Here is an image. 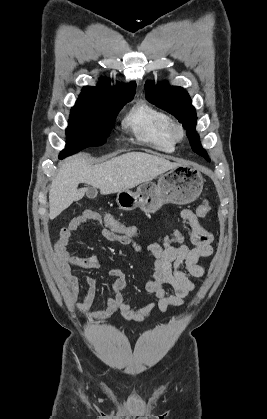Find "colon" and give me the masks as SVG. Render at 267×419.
<instances>
[{
  "instance_id": "1",
  "label": "colon",
  "mask_w": 267,
  "mask_h": 419,
  "mask_svg": "<svg viewBox=\"0 0 267 419\" xmlns=\"http://www.w3.org/2000/svg\"><path fill=\"white\" fill-rule=\"evenodd\" d=\"M209 211H210L209 203L207 201H204L202 204L197 206L195 210V214L199 217H204L208 214ZM101 224L106 229L114 233L118 237L119 243H121L122 245H127V246H133L137 244L141 245L140 240H139V232L135 226L125 224L124 222H121L115 219L112 215L106 214V213L101 216ZM182 239H183L182 234L177 232V233H174L172 237L165 238L163 240L164 241L163 243L164 245H169L174 242H180ZM153 243H156V242H153ZM153 243H150V244H153Z\"/></svg>"
}]
</instances>
